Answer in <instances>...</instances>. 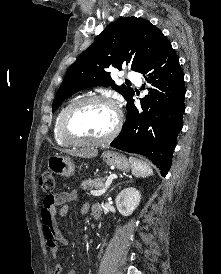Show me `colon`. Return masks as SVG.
Instances as JSON below:
<instances>
[{"label": "colon", "mask_w": 221, "mask_h": 274, "mask_svg": "<svg viewBox=\"0 0 221 274\" xmlns=\"http://www.w3.org/2000/svg\"><path fill=\"white\" fill-rule=\"evenodd\" d=\"M40 187L46 193H50L55 187V177L53 173L46 171L44 172L39 180Z\"/></svg>", "instance_id": "1"}]
</instances>
